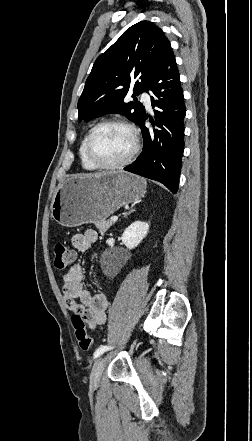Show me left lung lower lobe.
Listing matches in <instances>:
<instances>
[{
	"mask_svg": "<svg viewBox=\"0 0 252 441\" xmlns=\"http://www.w3.org/2000/svg\"><path fill=\"white\" fill-rule=\"evenodd\" d=\"M147 90L151 97L156 121L154 135L145 127V115L139 127L143 133V151L124 170L163 183L172 193L178 190L184 150L185 105L179 72L169 41L158 56L155 71Z\"/></svg>",
	"mask_w": 252,
	"mask_h": 441,
	"instance_id": "left-lung-lower-lobe-1",
	"label": "left lung lower lobe"
}]
</instances>
